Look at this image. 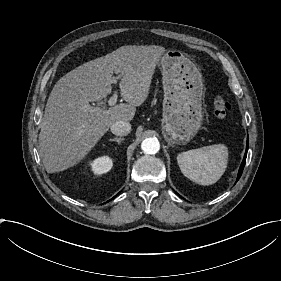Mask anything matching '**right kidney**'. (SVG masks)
<instances>
[{"label":"right kidney","instance_id":"ca27d5eb","mask_svg":"<svg viewBox=\"0 0 281 281\" xmlns=\"http://www.w3.org/2000/svg\"><path fill=\"white\" fill-rule=\"evenodd\" d=\"M89 165L94 175H102L112 168L113 161L109 156L104 155L89 162Z\"/></svg>","mask_w":281,"mask_h":281}]
</instances>
